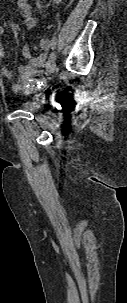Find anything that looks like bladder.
<instances>
[{
	"instance_id": "1",
	"label": "bladder",
	"mask_w": 127,
	"mask_h": 303,
	"mask_svg": "<svg viewBox=\"0 0 127 303\" xmlns=\"http://www.w3.org/2000/svg\"><path fill=\"white\" fill-rule=\"evenodd\" d=\"M19 106L23 110L27 111H37L40 107V102L37 98L26 96L19 101Z\"/></svg>"
}]
</instances>
